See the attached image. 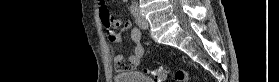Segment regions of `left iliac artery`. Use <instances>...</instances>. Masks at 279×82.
I'll list each match as a JSON object with an SVG mask.
<instances>
[{
  "label": "left iliac artery",
  "mask_w": 279,
  "mask_h": 82,
  "mask_svg": "<svg viewBox=\"0 0 279 82\" xmlns=\"http://www.w3.org/2000/svg\"><path fill=\"white\" fill-rule=\"evenodd\" d=\"M131 11L134 12V6L133 5L131 6Z\"/></svg>",
  "instance_id": "obj_1"
}]
</instances>
